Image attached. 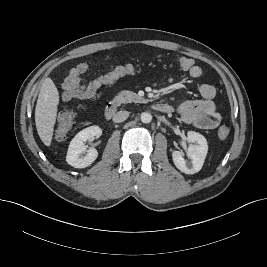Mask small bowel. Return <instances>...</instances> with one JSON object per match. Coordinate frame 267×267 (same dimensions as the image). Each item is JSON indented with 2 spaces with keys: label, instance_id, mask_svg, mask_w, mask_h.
Returning a JSON list of instances; mask_svg holds the SVG:
<instances>
[{
  "label": "small bowel",
  "instance_id": "c3829d8e",
  "mask_svg": "<svg viewBox=\"0 0 267 267\" xmlns=\"http://www.w3.org/2000/svg\"><path fill=\"white\" fill-rule=\"evenodd\" d=\"M89 63L82 61L71 67L65 77L61 91L60 101L68 102L74 98L98 101L103 87L102 76L86 81L83 75L88 71ZM203 74L202 68L194 65L189 70L192 78H199ZM201 99L187 100L177 107L181 119L187 124H193L200 129H214L221 121L217 111L214 97L215 88L210 84H202L199 89Z\"/></svg>",
  "mask_w": 267,
  "mask_h": 267
}]
</instances>
